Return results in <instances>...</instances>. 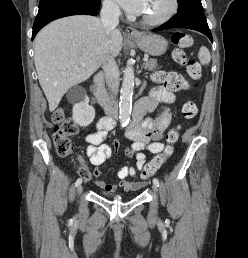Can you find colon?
<instances>
[{
    "label": "colon",
    "instance_id": "colon-1",
    "mask_svg": "<svg viewBox=\"0 0 248 258\" xmlns=\"http://www.w3.org/2000/svg\"><path fill=\"white\" fill-rule=\"evenodd\" d=\"M171 41L176 46L173 50V59L176 63L184 66L190 78L194 81H199L202 76V68L200 63L186 56L182 48L189 47L192 44V38L189 34L182 31H174L171 35ZM155 79L157 81L163 82L171 91H178L184 88L183 80L172 72L160 71L156 73ZM198 113V108L193 100H187L182 105V115L186 120L193 119ZM52 120L55 124V129L52 134V140L56 151L59 156L68 157L74 152V144L71 141V137L78 132L77 123L65 116L63 109H58L54 112ZM179 137V128L171 129L167 134L168 145L164 151L156 156L151 162H149L143 169L141 173V178L147 180L152 177L158 170V168L167 160V158L172 154V144H174ZM113 146L117 151L120 146H122V141H113ZM125 157V164L131 165L132 159H134L133 145L127 144L126 150L122 153ZM77 173L84 180L90 178V171L88 168L81 164Z\"/></svg>",
    "mask_w": 248,
    "mask_h": 258
}]
</instances>
